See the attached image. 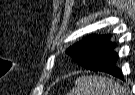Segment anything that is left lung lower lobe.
<instances>
[{
  "instance_id": "left-lung-lower-lobe-1",
  "label": "left lung lower lobe",
  "mask_w": 135,
  "mask_h": 95,
  "mask_svg": "<svg viewBox=\"0 0 135 95\" xmlns=\"http://www.w3.org/2000/svg\"><path fill=\"white\" fill-rule=\"evenodd\" d=\"M109 39L110 37L95 48L83 67L93 71L106 72L124 80L121 69L116 67L118 55L114 51L115 43L109 42Z\"/></svg>"
}]
</instances>
